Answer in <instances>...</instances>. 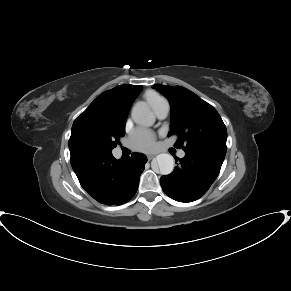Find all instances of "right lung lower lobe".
I'll return each instance as SVG.
<instances>
[{
    "instance_id": "98d812e1",
    "label": "right lung lower lobe",
    "mask_w": 291,
    "mask_h": 291,
    "mask_svg": "<svg viewBox=\"0 0 291 291\" xmlns=\"http://www.w3.org/2000/svg\"><path fill=\"white\" fill-rule=\"evenodd\" d=\"M70 162L81 186L99 203L121 205L135 195L147 158L132 153L116 160L112 153H77Z\"/></svg>"
}]
</instances>
